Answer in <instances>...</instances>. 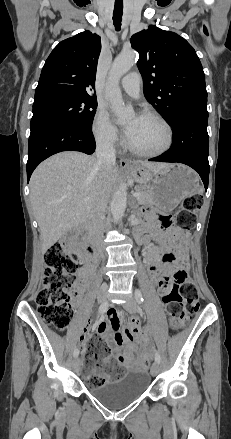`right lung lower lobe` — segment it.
Returning <instances> with one entry per match:
<instances>
[{"mask_svg": "<svg viewBox=\"0 0 231 439\" xmlns=\"http://www.w3.org/2000/svg\"><path fill=\"white\" fill-rule=\"evenodd\" d=\"M96 143L92 129L71 123H61L30 134L27 179L40 162L61 151H80L92 154Z\"/></svg>", "mask_w": 231, "mask_h": 439, "instance_id": "1", "label": "right lung lower lobe"}]
</instances>
